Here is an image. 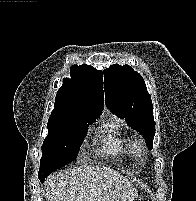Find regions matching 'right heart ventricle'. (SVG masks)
I'll return each mask as SVG.
<instances>
[{"instance_id":"obj_1","label":"right heart ventricle","mask_w":196,"mask_h":201,"mask_svg":"<svg viewBox=\"0 0 196 201\" xmlns=\"http://www.w3.org/2000/svg\"><path fill=\"white\" fill-rule=\"evenodd\" d=\"M119 128L117 123H112L106 129L103 140L104 150L109 154L117 155L131 150V147L126 145V141L119 135Z\"/></svg>"}]
</instances>
